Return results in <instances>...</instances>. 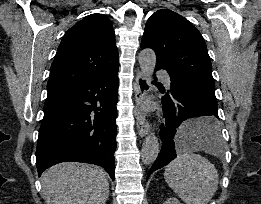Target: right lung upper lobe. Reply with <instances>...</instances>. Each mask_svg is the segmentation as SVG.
Returning <instances> with one entry per match:
<instances>
[{
	"label": "right lung upper lobe",
	"mask_w": 261,
	"mask_h": 204,
	"mask_svg": "<svg viewBox=\"0 0 261 204\" xmlns=\"http://www.w3.org/2000/svg\"><path fill=\"white\" fill-rule=\"evenodd\" d=\"M119 67L110 19L91 14L63 36L50 68L47 89L89 80Z\"/></svg>",
	"instance_id": "obj_1"
}]
</instances>
